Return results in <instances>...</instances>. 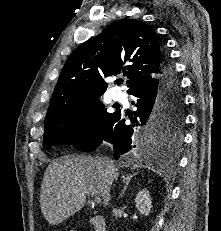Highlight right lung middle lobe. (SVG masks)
I'll use <instances>...</instances> for the list:
<instances>
[{
	"label": "right lung middle lobe",
	"instance_id": "1",
	"mask_svg": "<svg viewBox=\"0 0 221 231\" xmlns=\"http://www.w3.org/2000/svg\"><path fill=\"white\" fill-rule=\"evenodd\" d=\"M115 114L106 111L99 96L70 100L45 119L43 141L49 147L74 144L77 148L103 132ZM183 122V104L161 96L144 131L162 144L177 142Z\"/></svg>",
	"mask_w": 221,
	"mask_h": 231
}]
</instances>
